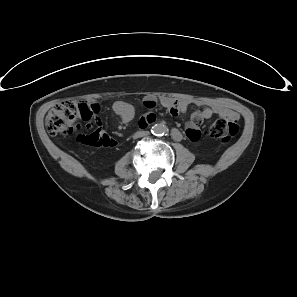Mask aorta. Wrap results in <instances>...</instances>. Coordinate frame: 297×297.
<instances>
[{
	"label": "aorta",
	"mask_w": 297,
	"mask_h": 297,
	"mask_svg": "<svg viewBox=\"0 0 297 297\" xmlns=\"http://www.w3.org/2000/svg\"><path fill=\"white\" fill-rule=\"evenodd\" d=\"M168 132V128L166 125L162 124V123H159V124H155L153 127H152V133L154 135H157V136H162L164 134H166Z\"/></svg>",
	"instance_id": "obj_1"
}]
</instances>
